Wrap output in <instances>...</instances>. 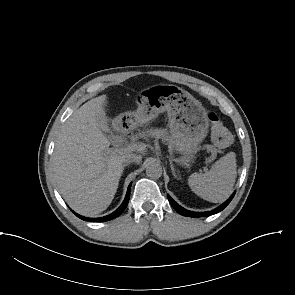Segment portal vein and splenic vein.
Segmentation results:
<instances>
[{
  "instance_id": "portal-vein-and-splenic-vein-1",
  "label": "portal vein and splenic vein",
  "mask_w": 295,
  "mask_h": 295,
  "mask_svg": "<svg viewBox=\"0 0 295 295\" xmlns=\"http://www.w3.org/2000/svg\"><path fill=\"white\" fill-rule=\"evenodd\" d=\"M139 147H140V144L132 143L128 147H123V146L119 147V148L115 149L113 152L122 153V152H126V151H134V150H138Z\"/></svg>"
}]
</instances>
